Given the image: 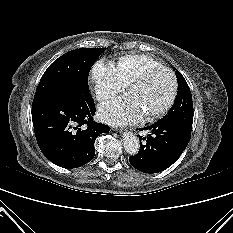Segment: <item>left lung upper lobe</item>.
<instances>
[{"instance_id":"5c2ea615","label":"left lung upper lobe","mask_w":233,"mask_h":233,"mask_svg":"<svg viewBox=\"0 0 233 233\" xmlns=\"http://www.w3.org/2000/svg\"><path fill=\"white\" fill-rule=\"evenodd\" d=\"M175 74L178 82L177 96L171 109L161 119L173 121L188 130H192L193 103L191 91L180 72L176 70Z\"/></svg>"}]
</instances>
